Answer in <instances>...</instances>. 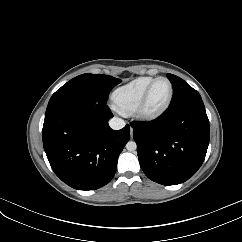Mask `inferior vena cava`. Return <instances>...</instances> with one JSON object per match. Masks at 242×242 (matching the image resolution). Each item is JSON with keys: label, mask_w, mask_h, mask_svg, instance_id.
Instances as JSON below:
<instances>
[{"label": "inferior vena cava", "mask_w": 242, "mask_h": 242, "mask_svg": "<svg viewBox=\"0 0 242 242\" xmlns=\"http://www.w3.org/2000/svg\"><path fill=\"white\" fill-rule=\"evenodd\" d=\"M109 126L114 130H119L125 126V121L119 117H113L109 121Z\"/></svg>", "instance_id": "602c4592"}]
</instances>
